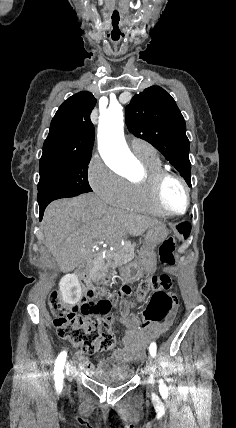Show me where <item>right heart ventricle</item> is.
Masks as SVG:
<instances>
[{
  "instance_id": "obj_1",
  "label": "right heart ventricle",
  "mask_w": 236,
  "mask_h": 428,
  "mask_svg": "<svg viewBox=\"0 0 236 428\" xmlns=\"http://www.w3.org/2000/svg\"><path fill=\"white\" fill-rule=\"evenodd\" d=\"M136 157L144 164L146 174L142 178L128 183V190L122 207L162 219L168 218V215L155 206L149 192V177L163 170L160 160L156 155Z\"/></svg>"
}]
</instances>
